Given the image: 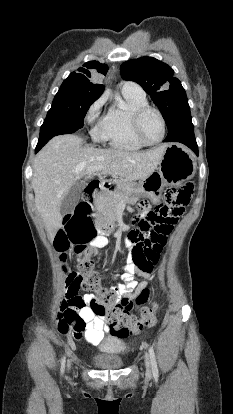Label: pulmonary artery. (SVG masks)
<instances>
[{"label": "pulmonary artery", "mask_w": 233, "mask_h": 414, "mask_svg": "<svg viewBox=\"0 0 233 414\" xmlns=\"http://www.w3.org/2000/svg\"><path fill=\"white\" fill-rule=\"evenodd\" d=\"M121 89L126 90V91L137 92V93H144L142 88L138 84L131 82V81L122 82Z\"/></svg>", "instance_id": "obj_1"}]
</instances>
